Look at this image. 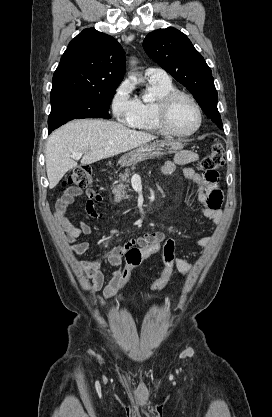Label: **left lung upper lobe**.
<instances>
[{
    "mask_svg": "<svg viewBox=\"0 0 272 417\" xmlns=\"http://www.w3.org/2000/svg\"><path fill=\"white\" fill-rule=\"evenodd\" d=\"M143 48L193 94L207 117L223 129L211 69L188 37L175 28L158 29L146 36Z\"/></svg>",
    "mask_w": 272,
    "mask_h": 417,
    "instance_id": "5c2ea615",
    "label": "left lung upper lobe"
}]
</instances>
